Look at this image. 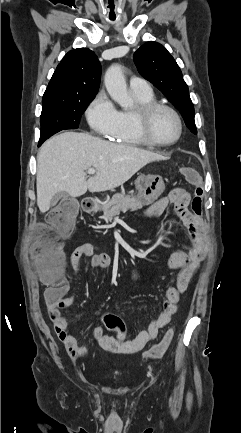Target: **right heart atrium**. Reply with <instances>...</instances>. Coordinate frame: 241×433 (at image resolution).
Returning <instances> with one entry per match:
<instances>
[{"label": "right heart atrium", "mask_w": 241, "mask_h": 433, "mask_svg": "<svg viewBox=\"0 0 241 433\" xmlns=\"http://www.w3.org/2000/svg\"><path fill=\"white\" fill-rule=\"evenodd\" d=\"M86 117L93 130L104 137H111L118 125L119 111L103 93L91 102Z\"/></svg>", "instance_id": "obj_1"}]
</instances>
